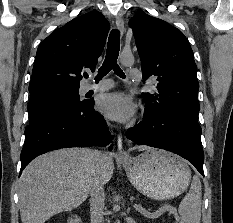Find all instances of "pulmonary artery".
Segmentation results:
<instances>
[{
    "label": "pulmonary artery",
    "mask_w": 233,
    "mask_h": 223,
    "mask_svg": "<svg viewBox=\"0 0 233 223\" xmlns=\"http://www.w3.org/2000/svg\"><path fill=\"white\" fill-rule=\"evenodd\" d=\"M128 74L130 75V79L138 80L141 79V70H129ZM112 86V80H104L102 83L97 85H88L87 91H94V92H104L110 89Z\"/></svg>",
    "instance_id": "obj_1"
}]
</instances>
